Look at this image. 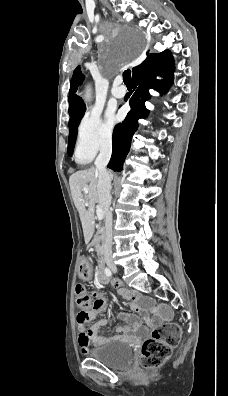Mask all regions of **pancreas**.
Returning a JSON list of instances; mask_svg holds the SVG:
<instances>
[{
  "label": "pancreas",
  "mask_w": 228,
  "mask_h": 396,
  "mask_svg": "<svg viewBox=\"0 0 228 396\" xmlns=\"http://www.w3.org/2000/svg\"><path fill=\"white\" fill-rule=\"evenodd\" d=\"M103 243H104V230L100 225H98L97 232L94 235L93 240L90 241V244L94 245L97 253L101 255L103 252Z\"/></svg>",
  "instance_id": "pancreas-1"
}]
</instances>
